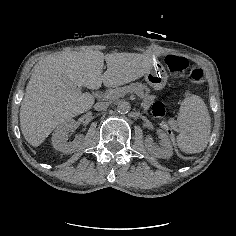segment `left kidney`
I'll list each match as a JSON object with an SVG mask.
<instances>
[{
  "label": "left kidney",
  "instance_id": "left-kidney-1",
  "mask_svg": "<svg viewBox=\"0 0 236 236\" xmlns=\"http://www.w3.org/2000/svg\"><path fill=\"white\" fill-rule=\"evenodd\" d=\"M158 135L161 138L164 147L159 148L154 146L152 143V138L148 136L145 138V147L147 149V152L155 156L156 158H171L173 155V149L168 136L162 130H158Z\"/></svg>",
  "mask_w": 236,
  "mask_h": 236
}]
</instances>
